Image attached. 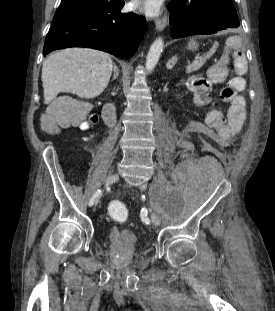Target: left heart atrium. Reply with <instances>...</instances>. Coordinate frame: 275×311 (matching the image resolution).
<instances>
[{"label": "left heart atrium", "mask_w": 275, "mask_h": 311, "mask_svg": "<svg viewBox=\"0 0 275 311\" xmlns=\"http://www.w3.org/2000/svg\"><path fill=\"white\" fill-rule=\"evenodd\" d=\"M162 0H136L135 7L148 15H157L161 10Z\"/></svg>", "instance_id": "1"}]
</instances>
